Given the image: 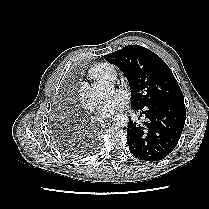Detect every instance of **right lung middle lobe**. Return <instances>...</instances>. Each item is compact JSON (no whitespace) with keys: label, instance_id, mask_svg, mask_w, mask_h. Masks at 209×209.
I'll return each instance as SVG.
<instances>
[{"label":"right lung middle lobe","instance_id":"1","mask_svg":"<svg viewBox=\"0 0 209 209\" xmlns=\"http://www.w3.org/2000/svg\"><path fill=\"white\" fill-rule=\"evenodd\" d=\"M57 146L62 152L70 156H77L81 153L76 146H71L70 143L64 140H59V142H57Z\"/></svg>","mask_w":209,"mask_h":209}]
</instances>
